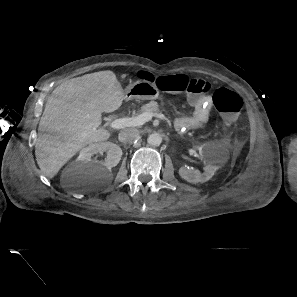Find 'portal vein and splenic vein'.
Returning a JSON list of instances; mask_svg holds the SVG:
<instances>
[{"mask_svg": "<svg viewBox=\"0 0 297 297\" xmlns=\"http://www.w3.org/2000/svg\"><path fill=\"white\" fill-rule=\"evenodd\" d=\"M153 116H156L157 118L164 121L166 120V117L161 113L152 114L146 112L136 117L115 119L110 123V127L112 129H122L125 127L141 126L144 123L150 121Z\"/></svg>", "mask_w": 297, "mask_h": 297, "instance_id": "obj_1", "label": "portal vein and splenic vein"}]
</instances>
